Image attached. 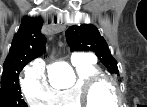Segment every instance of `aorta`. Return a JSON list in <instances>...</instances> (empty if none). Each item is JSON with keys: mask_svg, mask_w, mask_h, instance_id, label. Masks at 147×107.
Returning <instances> with one entry per match:
<instances>
[{"mask_svg": "<svg viewBox=\"0 0 147 107\" xmlns=\"http://www.w3.org/2000/svg\"><path fill=\"white\" fill-rule=\"evenodd\" d=\"M49 76L52 77L53 74H57L59 76L58 84L60 86L71 85L74 81V74L66 62H57L48 67Z\"/></svg>", "mask_w": 147, "mask_h": 107, "instance_id": "aorta-1", "label": "aorta"}]
</instances>
